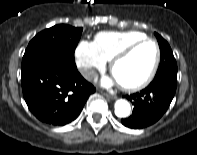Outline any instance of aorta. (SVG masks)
<instances>
[{"label": "aorta", "instance_id": "762f6f07", "mask_svg": "<svg viewBox=\"0 0 197 155\" xmlns=\"http://www.w3.org/2000/svg\"><path fill=\"white\" fill-rule=\"evenodd\" d=\"M114 108L116 116L120 118L129 116L131 111V106L129 102L124 99L117 100L115 102Z\"/></svg>", "mask_w": 197, "mask_h": 155}]
</instances>
